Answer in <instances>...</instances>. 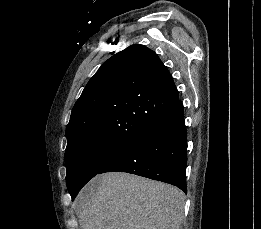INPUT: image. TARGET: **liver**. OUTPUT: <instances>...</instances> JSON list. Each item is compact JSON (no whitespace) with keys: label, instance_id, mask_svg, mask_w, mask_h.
Wrapping results in <instances>:
<instances>
[{"label":"liver","instance_id":"1","mask_svg":"<svg viewBox=\"0 0 261 229\" xmlns=\"http://www.w3.org/2000/svg\"><path fill=\"white\" fill-rule=\"evenodd\" d=\"M184 207L176 187L129 173L97 175L75 201L80 229H180Z\"/></svg>","mask_w":261,"mask_h":229}]
</instances>
